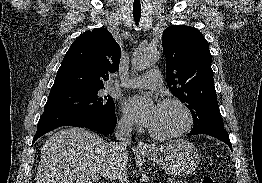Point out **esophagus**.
I'll return each instance as SVG.
<instances>
[{
    "label": "esophagus",
    "mask_w": 262,
    "mask_h": 183,
    "mask_svg": "<svg viewBox=\"0 0 262 183\" xmlns=\"http://www.w3.org/2000/svg\"><path fill=\"white\" fill-rule=\"evenodd\" d=\"M137 150H139L141 152H145V151L151 150V148L147 143L140 141L137 145Z\"/></svg>",
    "instance_id": "34e87169"
}]
</instances>
